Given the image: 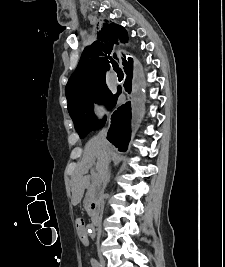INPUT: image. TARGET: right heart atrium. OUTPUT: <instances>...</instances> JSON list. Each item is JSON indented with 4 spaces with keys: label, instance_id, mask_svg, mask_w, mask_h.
Masks as SVG:
<instances>
[{
    "label": "right heart atrium",
    "instance_id": "right-heart-atrium-1",
    "mask_svg": "<svg viewBox=\"0 0 225 267\" xmlns=\"http://www.w3.org/2000/svg\"><path fill=\"white\" fill-rule=\"evenodd\" d=\"M94 114L98 119H101L106 114V105L104 102H100L94 107Z\"/></svg>",
    "mask_w": 225,
    "mask_h": 267
}]
</instances>
